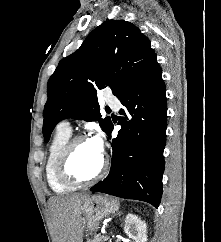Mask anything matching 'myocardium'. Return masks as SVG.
<instances>
[{"label": "myocardium", "mask_w": 221, "mask_h": 242, "mask_svg": "<svg viewBox=\"0 0 221 242\" xmlns=\"http://www.w3.org/2000/svg\"><path fill=\"white\" fill-rule=\"evenodd\" d=\"M88 140L84 135H77L69 139L65 147L63 148L58 163H57V175L66 184L72 186H83L92 184L100 180L107 171L108 158L103 155L102 162L98 171L90 178H81L75 175L71 170V159L74 153L75 147L78 143Z\"/></svg>", "instance_id": "myocardium-1"}]
</instances>
